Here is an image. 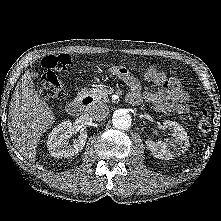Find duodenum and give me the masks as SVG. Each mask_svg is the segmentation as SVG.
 <instances>
[{
	"label": "duodenum",
	"instance_id": "410a0bca",
	"mask_svg": "<svg viewBox=\"0 0 221 221\" xmlns=\"http://www.w3.org/2000/svg\"><path fill=\"white\" fill-rule=\"evenodd\" d=\"M93 103V97L91 95H83L78 99H75L68 103L66 111L70 116L77 117L83 112L85 106Z\"/></svg>",
	"mask_w": 221,
	"mask_h": 221
}]
</instances>
